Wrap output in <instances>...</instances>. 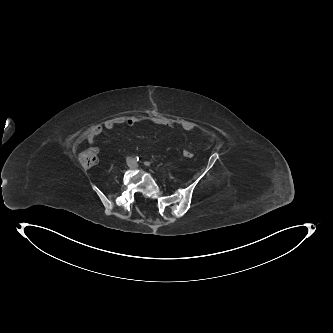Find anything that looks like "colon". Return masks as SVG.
<instances>
[{"label":"colon","mask_w":333,"mask_h":333,"mask_svg":"<svg viewBox=\"0 0 333 333\" xmlns=\"http://www.w3.org/2000/svg\"><path fill=\"white\" fill-rule=\"evenodd\" d=\"M183 157H185L187 160H190L191 158H197L198 157V152L197 151H191L188 148H185L182 151ZM79 163L81 166L85 168L92 167L96 164L97 162V153L93 149H89L86 151H83L79 155Z\"/></svg>","instance_id":"1"}]
</instances>
